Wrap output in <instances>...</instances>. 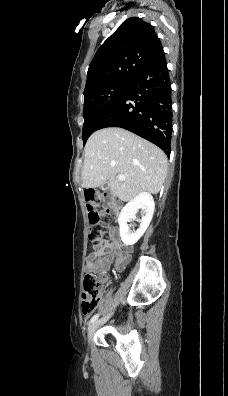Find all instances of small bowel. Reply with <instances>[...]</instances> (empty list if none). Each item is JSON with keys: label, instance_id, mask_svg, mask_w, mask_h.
<instances>
[{"label": "small bowel", "instance_id": "c3829d8e", "mask_svg": "<svg viewBox=\"0 0 228 396\" xmlns=\"http://www.w3.org/2000/svg\"><path fill=\"white\" fill-rule=\"evenodd\" d=\"M112 240L104 242L99 246H94L93 251L87 256L85 268L88 272L103 270L111 263L113 255H117V266L122 268L129 260L132 249L123 245L116 236V231H112Z\"/></svg>", "mask_w": 228, "mask_h": 396}]
</instances>
